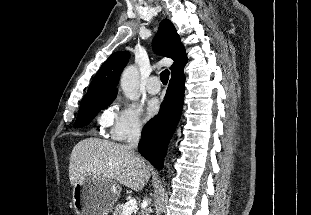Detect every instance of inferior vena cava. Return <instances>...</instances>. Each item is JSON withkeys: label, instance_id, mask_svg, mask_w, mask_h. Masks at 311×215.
Here are the masks:
<instances>
[{"label": "inferior vena cava", "instance_id": "1", "mask_svg": "<svg viewBox=\"0 0 311 215\" xmlns=\"http://www.w3.org/2000/svg\"><path fill=\"white\" fill-rule=\"evenodd\" d=\"M140 136H141V128L139 126H134L128 135V147L132 150H136L139 140H140ZM141 215H149L148 214V209L145 208L141 211Z\"/></svg>", "mask_w": 311, "mask_h": 215}]
</instances>
